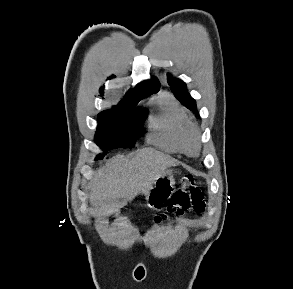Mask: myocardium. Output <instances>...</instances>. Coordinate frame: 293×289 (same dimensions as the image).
Returning a JSON list of instances; mask_svg holds the SVG:
<instances>
[{"label":"myocardium","mask_w":293,"mask_h":289,"mask_svg":"<svg viewBox=\"0 0 293 289\" xmlns=\"http://www.w3.org/2000/svg\"><path fill=\"white\" fill-rule=\"evenodd\" d=\"M180 151L188 156H196L201 148L198 128L189 122L179 135Z\"/></svg>","instance_id":"myocardium-1"}]
</instances>
